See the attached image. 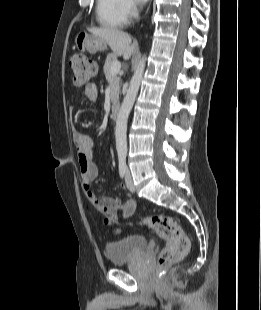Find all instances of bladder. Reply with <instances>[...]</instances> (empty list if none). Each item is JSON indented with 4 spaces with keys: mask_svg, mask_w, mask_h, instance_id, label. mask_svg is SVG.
<instances>
[{
    "mask_svg": "<svg viewBox=\"0 0 261 310\" xmlns=\"http://www.w3.org/2000/svg\"><path fill=\"white\" fill-rule=\"evenodd\" d=\"M147 246V239L138 234H130L106 244V254L113 264H123L135 258Z\"/></svg>",
    "mask_w": 261,
    "mask_h": 310,
    "instance_id": "obj_1",
    "label": "bladder"
}]
</instances>
